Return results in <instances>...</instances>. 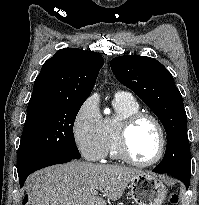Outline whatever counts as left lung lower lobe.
Instances as JSON below:
<instances>
[{"mask_svg":"<svg viewBox=\"0 0 199 205\" xmlns=\"http://www.w3.org/2000/svg\"><path fill=\"white\" fill-rule=\"evenodd\" d=\"M153 171H154V170H153ZM154 172H156V171H154ZM156 173H157V172H156ZM169 175H171V174H169ZM171 176H173V177H175V178L181 180V181L184 183V185L186 186V189L189 188L190 180H188V179H186V178H183V177L176 176V175H171Z\"/></svg>","mask_w":199,"mask_h":205,"instance_id":"left-lung-lower-lobe-1","label":"left lung lower lobe"}]
</instances>
